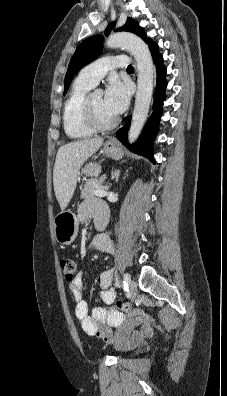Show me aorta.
I'll return each mask as SVG.
<instances>
[{"mask_svg": "<svg viewBox=\"0 0 227 396\" xmlns=\"http://www.w3.org/2000/svg\"><path fill=\"white\" fill-rule=\"evenodd\" d=\"M106 46L109 48L123 47L130 51L136 60L138 86L132 122L128 133V140L130 143H133L138 138L144 126L151 103L154 79L151 53L141 38L127 32L111 34L106 41Z\"/></svg>", "mask_w": 227, "mask_h": 396, "instance_id": "obj_1", "label": "aorta"}]
</instances>
